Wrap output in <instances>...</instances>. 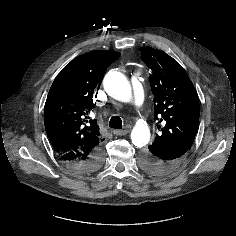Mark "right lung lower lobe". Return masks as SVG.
I'll list each match as a JSON object with an SVG mask.
<instances>
[{"instance_id": "obj_1", "label": "right lung lower lobe", "mask_w": 236, "mask_h": 236, "mask_svg": "<svg viewBox=\"0 0 236 236\" xmlns=\"http://www.w3.org/2000/svg\"><path fill=\"white\" fill-rule=\"evenodd\" d=\"M62 160V158L60 157ZM104 160L102 147H98L86 160H62L71 170L79 173H91L100 168Z\"/></svg>"}]
</instances>
